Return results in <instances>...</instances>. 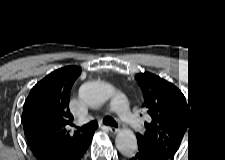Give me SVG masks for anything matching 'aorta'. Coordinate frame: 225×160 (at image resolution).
Returning <instances> with one entry per match:
<instances>
[{
  "label": "aorta",
  "mask_w": 225,
  "mask_h": 160,
  "mask_svg": "<svg viewBox=\"0 0 225 160\" xmlns=\"http://www.w3.org/2000/svg\"><path fill=\"white\" fill-rule=\"evenodd\" d=\"M115 89L112 85L93 81L83 84L80 88L81 97L92 106H98L114 96ZM115 144L117 149L124 155H132L138 148L135 134L130 129H121L118 131Z\"/></svg>",
  "instance_id": "obj_1"
}]
</instances>
